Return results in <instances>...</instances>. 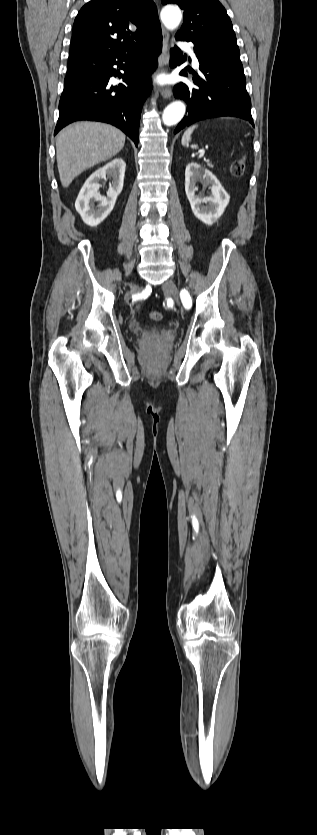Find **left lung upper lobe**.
<instances>
[{
    "mask_svg": "<svg viewBox=\"0 0 317 835\" xmlns=\"http://www.w3.org/2000/svg\"><path fill=\"white\" fill-rule=\"evenodd\" d=\"M165 4H177L184 10V22L175 35L176 39L208 41L239 49L236 35L225 8L218 0H161Z\"/></svg>",
    "mask_w": 317,
    "mask_h": 835,
    "instance_id": "5c2ea615",
    "label": "left lung upper lobe"
}]
</instances>
